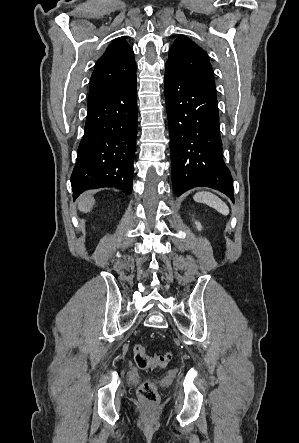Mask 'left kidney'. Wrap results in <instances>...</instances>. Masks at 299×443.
I'll return each mask as SVG.
<instances>
[{"instance_id":"obj_1","label":"left kidney","mask_w":299,"mask_h":443,"mask_svg":"<svg viewBox=\"0 0 299 443\" xmlns=\"http://www.w3.org/2000/svg\"><path fill=\"white\" fill-rule=\"evenodd\" d=\"M196 228L200 231L202 229V226L199 222H195Z\"/></svg>"}]
</instances>
